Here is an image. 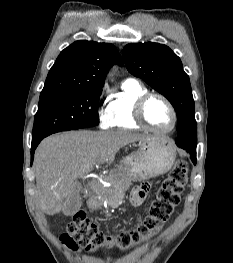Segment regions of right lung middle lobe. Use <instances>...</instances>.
<instances>
[{"label": "right lung middle lobe", "mask_w": 233, "mask_h": 263, "mask_svg": "<svg viewBox=\"0 0 233 263\" xmlns=\"http://www.w3.org/2000/svg\"><path fill=\"white\" fill-rule=\"evenodd\" d=\"M102 89L67 90L40 95L32 141L60 132L99 124L98 101Z\"/></svg>", "instance_id": "obj_1"}]
</instances>
